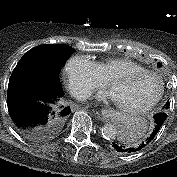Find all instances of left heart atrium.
Instances as JSON below:
<instances>
[{
    "mask_svg": "<svg viewBox=\"0 0 177 177\" xmlns=\"http://www.w3.org/2000/svg\"><path fill=\"white\" fill-rule=\"evenodd\" d=\"M101 97L114 99L111 92H107L105 94H102Z\"/></svg>",
    "mask_w": 177,
    "mask_h": 177,
    "instance_id": "1",
    "label": "left heart atrium"
}]
</instances>
